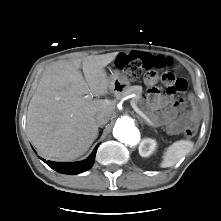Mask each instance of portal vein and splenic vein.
Listing matches in <instances>:
<instances>
[{"label": "portal vein and splenic vein", "instance_id": "portal-vein-and-splenic-vein-1", "mask_svg": "<svg viewBox=\"0 0 221 221\" xmlns=\"http://www.w3.org/2000/svg\"><path fill=\"white\" fill-rule=\"evenodd\" d=\"M130 104L137 114H139L142 118H144L146 121L150 123L149 118L137 107V105L135 104L133 100L130 101Z\"/></svg>", "mask_w": 221, "mask_h": 221}]
</instances>
